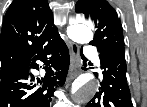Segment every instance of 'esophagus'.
<instances>
[{
  "label": "esophagus",
  "instance_id": "esophagus-1",
  "mask_svg": "<svg viewBox=\"0 0 147 107\" xmlns=\"http://www.w3.org/2000/svg\"><path fill=\"white\" fill-rule=\"evenodd\" d=\"M69 51H70V72L67 80L73 79L77 73L80 66V55L78 45L74 42H69Z\"/></svg>",
  "mask_w": 147,
  "mask_h": 107
}]
</instances>
